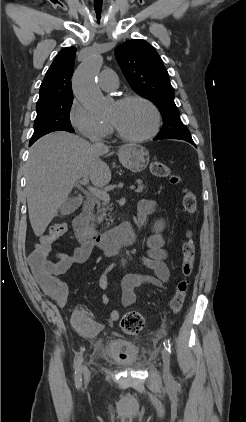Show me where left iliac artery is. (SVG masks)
Wrapping results in <instances>:
<instances>
[{
  "label": "left iliac artery",
  "mask_w": 246,
  "mask_h": 422,
  "mask_svg": "<svg viewBox=\"0 0 246 422\" xmlns=\"http://www.w3.org/2000/svg\"><path fill=\"white\" fill-rule=\"evenodd\" d=\"M164 347H165V349L168 351V352H171V343H170V341L169 340H165L164 341Z\"/></svg>",
  "instance_id": "left-iliac-artery-1"
}]
</instances>
